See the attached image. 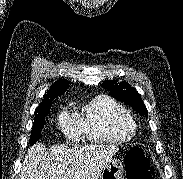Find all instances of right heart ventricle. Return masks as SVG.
Returning <instances> with one entry per match:
<instances>
[{"label": "right heart ventricle", "instance_id": "obj_1", "mask_svg": "<svg viewBox=\"0 0 183 179\" xmlns=\"http://www.w3.org/2000/svg\"><path fill=\"white\" fill-rule=\"evenodd\" d=\"M79 125L87 138L95 142L126 141L135 131L128 110L107 95L94 97L84 107Z\"/></svg>", "mask_w": 183, "mask_h": 179}]
</instances>
